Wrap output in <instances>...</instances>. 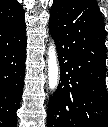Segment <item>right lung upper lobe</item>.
Returning a JSON list of instances; mask_svg holds the SVG:
<instances>
[{
    "label": "right lung upper lobe",
    "instance_id": "obj_1",
    "mask_svg": "<svg viewBox=\"0 0 108 127\" xmlns=\"http://www.w3.org/2000/svg\"><path fill=\"white\" fill-rule=\"evenodd\" d=\"M24 19V10L17 0H0V27L14 25Z\"/></svg>",
    "mask_w": 108,
    "mask_h": 127
}]
</instances>
